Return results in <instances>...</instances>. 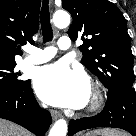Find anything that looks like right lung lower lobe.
<instances>
[{"label": "right lung lower lobe", "instance_id": "98d812e1", "mask_svg": "<svg viewBox=\"0 0 136 136\" xmlns=\"http://www.w3.org/2000/svg\"><path fill=\"white\" fill-rule=\"evenodd\" d=\"M0 118L15 122L37 136H43L52 123L50 113L39 107L30 80L14 91L0 92Z\"/></svg>", "mask_w": 136, "mask_h": 136}]
</instances>
